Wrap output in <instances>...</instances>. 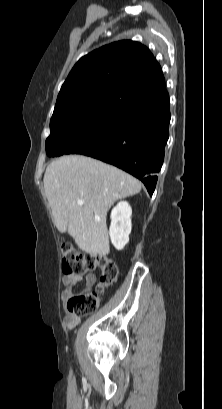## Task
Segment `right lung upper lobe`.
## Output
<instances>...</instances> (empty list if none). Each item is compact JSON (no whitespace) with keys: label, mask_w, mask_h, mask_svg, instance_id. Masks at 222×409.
I'll use <instances>...</instances> for the list:
<instances>
[{"label":"right lung upper lobe","mask_w":222,"mask_h":409,"mask_svg":"<svg viewBox=\"0 0 222 409\" xmlns=\"http://www.w3.org/2000/svg\"><path fill=\"white\" fill-rule=\"evenodd\" d=\"M162 70L147 47L118 41L82 57L63 83L54 112L102 102L126 104L166 94Z\"/></svg>","instance_id":"1"}]
</instances>
